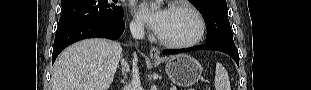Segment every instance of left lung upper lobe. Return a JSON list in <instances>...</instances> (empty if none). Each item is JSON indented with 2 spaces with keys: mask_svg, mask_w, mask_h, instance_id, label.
I'll return each mask as SVG.
<instances>
[{
  "mask_svg": "<svg viewBox=\"0 0 311 90\" xmlns=\"http://www.w3.org/2000/svg\"><path fill=\"white\" fill-rule=\"evenodd\" d=\"M191 2L207 23V43L234 45L226 0H192Z\"/></svg>",
  "mask_w": 311,
  "mask_h": 90,
  "instance_id": "1",
  "label": "left lung upper lobe"
}]
</instances>
